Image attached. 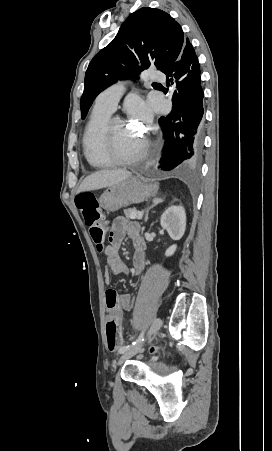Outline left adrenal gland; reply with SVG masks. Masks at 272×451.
Returning <instances> with one entry per match:
<instances>
[{
	"instance_id": "left-adrenal-gland-1",
	"label": "left adrenal gland",
	"mask_w": 272,
	"mask_h": 451,
	"mask_svg": "<svg viewBox=\"0 0 272 451\" xmlns=\"http://www.w3.org/2000/svg\"><path fill=\"white\" fill-rule=\"evenodd\" d=\"M152 202H153L152 206H150V208H148V210H146L145 222H147V220H148L149 210H151V208H154V206H157V204H161V202H164V200H163V198H154V200H152Z\"/></svg>"
}]
</instances>
